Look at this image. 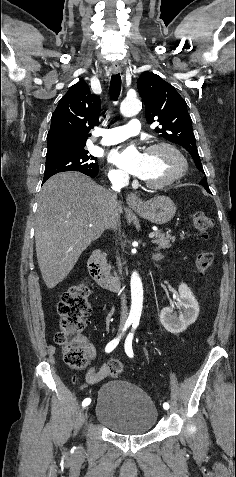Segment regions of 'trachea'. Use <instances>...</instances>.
Masks as SVG:
<instances>
[{"mask_svg":"<svg viewBox=\"0 0 236 477\" xmlns=\"http://www.w3.org/2000/svg\"><path fill=\"white\" fill-rule=\"evenodd\" d=\"M121 91V76L120 74H114L111 77L110 82V95L114 101H117Z\"/></svg>","mask_w":236,"mask_h":477,"instance_id":"3493384b","label":"trachea"}]
</instances>
